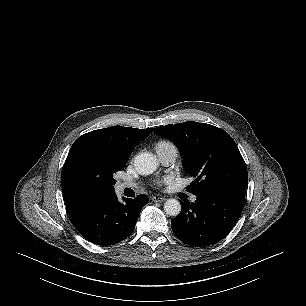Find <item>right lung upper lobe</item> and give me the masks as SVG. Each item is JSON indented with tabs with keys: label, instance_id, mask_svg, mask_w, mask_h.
<instances>
[{
	"label": "right lung upper lobe",
	"instance_id": "cb5924a9",
	"mask_svg": "<svg viewBox=\"0 0 306 306\" xmlns=\"http://www.w3.org/2000/svg\"><path fill=\"white\" fill-rule=\"evenodd\" d=\"M152 128L136 129L131 127L112 126L98 129L80 136L72 145L67 161L80 149H87L92 153L106 154L129 159L134 147L146 139ZM64 165V166H65ZM62 192L69 215H73L96 202L111 198L115 194H101L85 197L72 190L62 175Z\"/></svg>",
	"mask_w": 306,
	"mask_h": 306
}]
</instances>
